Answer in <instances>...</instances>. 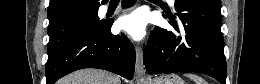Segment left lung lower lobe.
<instances>
[{
	"label": "left lung lower lobe",
	"mask_w": 260,
	"mask_h": 84,
	"mask_svg": "<svg viewBox=\"0 0 260 84\" xmlns=\"http://www.w3.org/2000/svg\"><path fill=\"white\" fill-rule=\"evenodd\" d=\"M175 16L169 17L176 31L154 28L144 51L148 74L199 72L226 84L227 67L221 33L220 4L207 0H175Z\"/></svg>",
	"instance_id": "1"
}]
</instances>
